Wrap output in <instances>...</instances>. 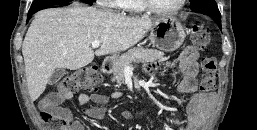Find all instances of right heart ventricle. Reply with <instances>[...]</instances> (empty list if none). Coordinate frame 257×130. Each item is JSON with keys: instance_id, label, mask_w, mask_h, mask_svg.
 Instances as JSON below:
<instances>
[{"instance_id": "1", "label": "right heart ventricle", "mask_w": 257, "mask_h": 130, "mask_svg": "<svg viewBox=\"0 0 257 130\" xmlns=\"http://www.w3.org/2000/svg\"><path fill=\"white\" fill-rule=\"evenodd\" d=\"M117 8L126 14L136 15L145 12L140 0H117Z\"/></svg>"}]
</instances>
